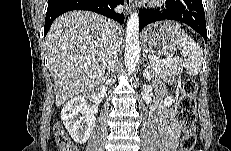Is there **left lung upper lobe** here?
<instances>
[{"instance_id":"obj_1","label":"left lung upper lobe","mask_w":231,"mask_h":151,"mask_svg":"<svg viewBox=\"0 0 231 151\" xmlns=\"http://www.w3.org/2000/svg\"><path fill=\"white\" fill-rule=\"evenodd\" d=\"M180 0H167L166 3L169 6H175L177 2H179Z\"/></svg>"}]
</instances>
